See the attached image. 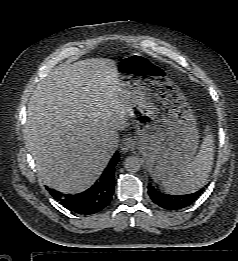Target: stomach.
Instances as JSON below:
<instances>
[{
  "label": "stomach",
  "instance_id": "1",
  "mask_svg": "<svg viewBox=\"0 0 238 261\" xmlns=\"http://www.w3.org/2000/svg\"><path fill=\"white\" fill-rule=\"evenodd\" d=\"M125 58L116 64L120 91L135 119L139 151L158 182L182 172L193 159L199 132L194 112L180 88L152 62Z\"/></svg>",
  "mask_w": 238,
  "mask_h": 261
}]
</instances>
